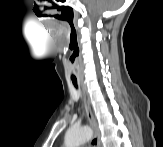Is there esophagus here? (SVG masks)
I'll list each match as a JSON object with an SVG mask.
<instances>
[{
	"mask_svg": "<svg viewBox=\"0 0 163 147\" xmlns=\"http://www.w3.org/2000/svg\"><path fill=\"white\" fill-rule=\"evenodd\" d=\"M82 87H83L84 102H85V106H86L87 112H88L89 123L94 132L90 143H91L92 147H100L99 130H98L96 119H95L94 114L91 109L90 97L86 90V87L84 85Z\"/></svg>",
	"mask_w": 163,
	"mask_h": 147,
	"instance_id": "34e87169",
	"label": "esophagus"
}]
</instances>
